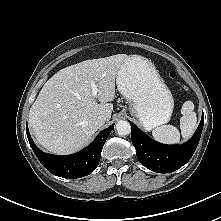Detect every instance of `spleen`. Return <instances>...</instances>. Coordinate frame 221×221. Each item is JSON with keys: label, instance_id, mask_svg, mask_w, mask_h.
Masks as SVG:
<instances>
[{"label": "spleen", "instance_id": "spleen-1", "mask_svg": "<svg viewBox=\"0 0 221 221\" xmlns=\"http://www.w3.org/2000/svg\"><path fill=\"white\" fill-rule=\"evenodd\" d=\"M180 129L183 139H189L196 129L197 116L194 112V104L186 101L181 109ZM154 139L160 143L176 144L180 142V132L172 125H162L152 131Z\"/></svg>", "mask_w": 221, "mask_h": 221}]
</instances>
